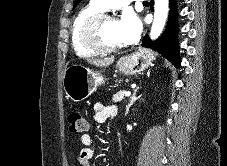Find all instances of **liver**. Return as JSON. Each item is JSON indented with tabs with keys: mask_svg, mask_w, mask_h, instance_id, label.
Here are the masks:
<instances>
[{
	"mask_svg": "<svg viewBox=\"0 0 227 166\" xmlns=\"http://www.w3.org/2000/svg\"><path fill=\"white\" fill-rule=\"evenodd\" d=\"M86 60L89 64H92L94 66L107 67L114 62V57L104 58V59L89 58V59H86Z\"/></svg>",
	"mask_w": 227,
	"mask_h": 166,
	"instance_id": "1",
	"label": "liver"
}]
</instances>
